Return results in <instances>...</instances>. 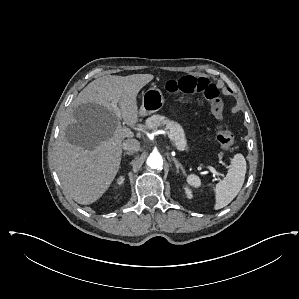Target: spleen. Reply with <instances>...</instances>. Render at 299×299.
I'll return each instance as SVG.
<instances>
[{
  "label": "spleen",
  "mask_w": 299,
  "mask_h": 299,
  "mask_svg": "<svg viewBox=\"0 0 299 299\" xmlns=\"http://www.w3.org/2000/svg\"><path fill=\"white\" fill-rule=\"evenodd\" d=\"M245 173L246 161L244 156L240 153L235 154L231 159L226 177L214 189L215 210L227 206L237 196L243 186ZM187 183L194 188H198L201 185V180L197 175L190 174L187 177Z\"/></svg>",
  "instance_id": "spleen-1"
}]
</instances>
